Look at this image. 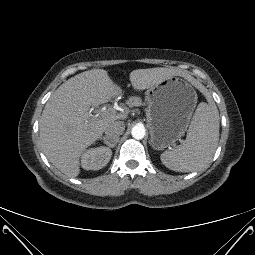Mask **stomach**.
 <instances>
[{
	"instance_id": "0dacf381",
	"label": "stomach",
	"mask_w": 255,
	"mask_h": 255,
	"mask_svg": "<svg viewBox=\"0 0 255 255\" xmlns=\"http://www.w3.org/2000/svg\"><path fill=\"white\" fill-rule=\"evenodd\" d=\"M150 144L155 150L174 146L187 128L197 102L193 86L178 75L168 77L146 93Z\"/></svg>"
}]
</instances>
